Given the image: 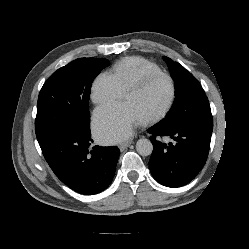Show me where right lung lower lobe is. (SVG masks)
Returning <instances> with one entry per match:
<instances>
[{
  "label": "right lung lower lobe",
  "instance_id": "right-lung-lower-lobe-1",
  "mask_svg": "<svg viewBox=\"0 0 249 249\" xmlns=\"http://www.w3.org/2000/svg\"><path fill=\"white\" fill-rule=\"evenodd\" d=\"M90 129L55 133L39 142L55 175L69 188L85 195L99 193L112 182L120 151L118 147L95 146Z\"/></svg>",
  "mask_w": 249,
  "mask_h": 249
}]
</instances>
